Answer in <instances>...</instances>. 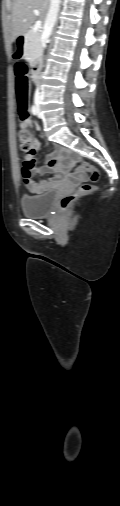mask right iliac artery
Instances as JSON below:
<instances>
[{
  "label": "right iliac artery",
  "mask_w": 120,
  "mask_h": 506,
  "mask_svg": "<svg viewBox=\"0 0 120 506\" xmlns=\"http://www.w3.org/2000/svg\"><path fill=\"white\" fill-rule=\"evenodd\" d=\"M31 112H32L33 115H37L38 114V109H37V107L35 105H33L31 107Z\"/></svg>",
  "instance_id": "right-iliac-artery-1"
}]
</instances>
